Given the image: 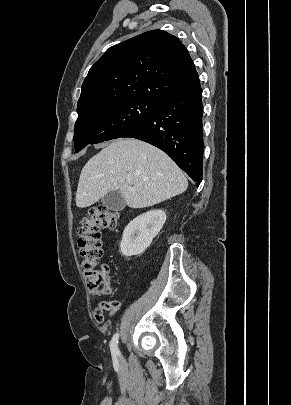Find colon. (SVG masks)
Wrapping results in <instances>:
<instances>
[{
  "label": "colon",
  "mask_w": 291,
  "mask_h": 405,
  "mask_svg": "<svg viewBox=\"0 0 291 405\" xmlns=\"http://www.w3.org/2000/svg\"><path fill=\"white\" fill-rule=\"evenodd\" d=\"M118 224V213L105 207L93 208L81 220L78 228V247L82 267L89 291L95 296L108 295L112 277L109 267L100 264L102 257L101 230L114 229Z\"/></svg>",
  "instance_id": "colon-1"
}]
</instances>
